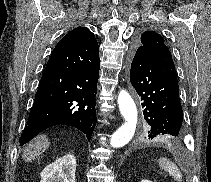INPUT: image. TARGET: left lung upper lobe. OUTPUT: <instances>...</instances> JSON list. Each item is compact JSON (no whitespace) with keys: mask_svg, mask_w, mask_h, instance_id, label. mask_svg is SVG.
<instances>
[{"mask_svg":"<svg viewBox=\"0 0 211 182\" xmlns=\"http://www.w3.org/2000/svg\"><path fill=\"white\" fill-rule=\"evenodd\" d=\"M136 47L144 48L151 56L164 68L169 78L178 85L176 69L172 60L171 52L165 45L163 37L154 31H145L139 40L136 41Z\"/></svg>","mask_w":211,"mask_h":182,"instance_id":"1","label":"left lung upper lobe"}]
</instances>
